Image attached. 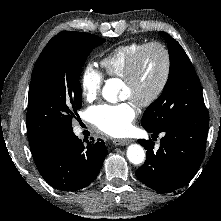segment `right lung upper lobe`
Here are the masks:
<instances>
[{
	"mask_svg": "<svg viewBox=\"0 0 221 221\" xmlns=\"http://www.w3.org/2000/svg\"><path fill=\"white\" fill-rule=\"evenodd\" d=\"M29 135V141L31 139V134L28 133ZM55 138L54 136H50L48 138H46L42 143L40 144H37V145H30V148H31V152L33 154V157H37L39 156L42 151L46 148V146L48 145V143L53 139Z\"/></svg>",
	"mask_w": 221,
	"mask_h": 221,
	"instance_id": "right-lung-upper-lobe-1",
	"label": "right lung upper lobe"
}]
</instances>
